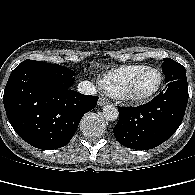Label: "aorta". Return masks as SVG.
I'll return each instance as SVG.
<instances>
[{
  "instance_id": "762f6f07",
  "label": "aorta",
  "mask_w": 195,
  "mask_h": 195,
  "mask_svg": "<svg viewBox=\"0 0 195 195\" xmlns=\"http://www.w3.org/2000/svg\"><path fill=\"white\" fill-rule=\"evenodd\" d=\"M102 114L107 121H116L119 116L118 109L113 105H105Z\"/></svg>"
}]
</instances>
